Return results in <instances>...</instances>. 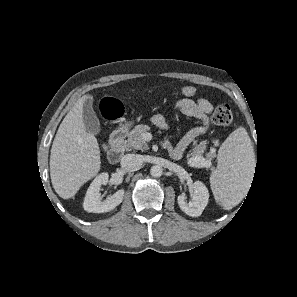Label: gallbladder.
I'll return each mask as SVG.
<instances>
[{"label":"gallbladder","instance_id":"gallbladder-1","mask_svg":"<svg viewBox=\"0 0 297 297\" xmlns=\"http://www.w3.org/2000/svg\"><path fill=\"white\" fill-rule=\"evenodd\" d=\"M83 121L86 126V130L94 135H97L101 131V124L97 117L95 110L93 109V98L89 97L83 106Z\"/></svg>","mask_w":297,"mask_h":297}]
</instances>
